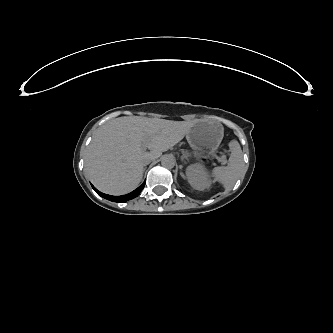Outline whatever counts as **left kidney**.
<instances>
[{
    "label": "left kidney",
    "mask_w": 333,
    "mask_h": 333,
    "mask_svg": "<svg viewBox=\"0 0 333 333\" xmlns=\"http://www.w3.org/2000/svg\"><path fill=\"white\" fill-rule=\"evenodd\" d=\"M188 183L195 190H205L212 185V178L209 169L203 163H194L186 168Z\"/></svg>",
    "instance_id": "1"
}]
</instances>
